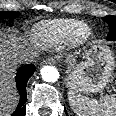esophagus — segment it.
<instances>
[{"label": "esophagus", "mask_w": 116, "mask_h": 116, "mask_svg": "<svg viewBox=\"0 0 116 116\" xmlns=\"http://www.w3.org/2000/svg\"><path fill=\"white\" fill-rule=\"evenodd\" d=\"M42 64H55V60L53 58L45 59Z\"/></svg>", "instance_id": "obj_1"}]
</instances>
